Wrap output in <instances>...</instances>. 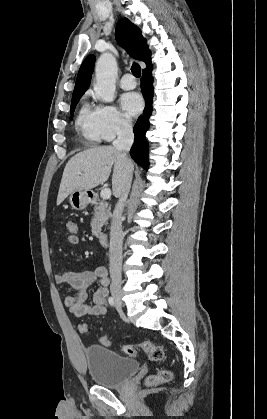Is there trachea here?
I'll return each instance as SVG.
<instances>
[{"label":"trachea","mask_w":267,"mask_h":419,"mask_svg":"<svg viewBox=\"0 0 267 419\" xmlns=\"http://www.w3.org/2000/svg\"><path fill=\"white\" fill-rule=\"evenodd\" d=\"M131 71H132V73L135 77H140L141 76V69H140L139 64L133 63V65L131 67Z\"/></svg>","instance_id":"trachea-1"}]
</instances>
